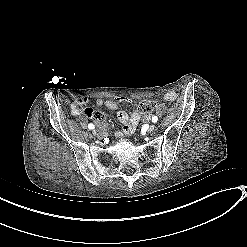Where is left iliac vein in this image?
I'll use <instances>...</instances> for the list:
<instances>
[{
    "label": "left iliac vein",
    "instance_id": "left-iliac-vein-1",
    "mask_svg": "<svg viewBox=\"0 0 247 247\" xmlns=\"http://www.w3.org/2000/svg\"><path fill=\"white\" fill-rule=\"evenodd\" d=\"M154 129H155V125L152 124V125H150V127H149V129H148V132H153Z\"/></svg>",
    "mask_w": 247,
    "mask_h": 247
}]
</instances>
